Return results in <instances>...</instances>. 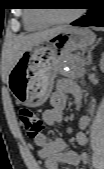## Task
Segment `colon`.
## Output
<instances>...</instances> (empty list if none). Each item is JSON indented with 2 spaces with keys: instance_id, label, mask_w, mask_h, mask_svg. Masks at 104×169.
Instances as JSON below:
<instances>
[{
  "instance_id": "colon-1",
  "label": "colon",
  "mask_w": 104,
  "mask_h": 169,
  "mask_svg": "<svg viewBox=\"0 0 104 169\" xmlns=\"http://www.w3.org/2000/svg\"><path fill=\"white\" fill-rule=\"evenodd\" d=\"M18 119L29 138L36 139L42 134L44 124L38 114L23 108L18 112Z\"/></svg>"
}]
</instances>
